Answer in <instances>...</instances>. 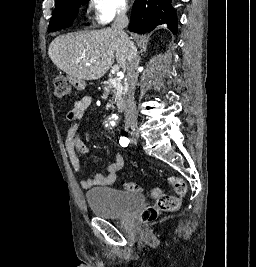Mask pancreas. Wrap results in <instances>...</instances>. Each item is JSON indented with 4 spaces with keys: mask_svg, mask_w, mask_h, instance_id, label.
I'll list each match as a JSON object with an SVG mask.
<instances>
[{
    "mask_svg": "<svg viewBox=\"0 0 256 267\" xmlns=\"http://www.w3.org/2000/svg\"><path fill=\"white\" fill-rule=\"evenodd\" d=\"M106 94H109V92H112L114 100L112 102H116L117 106H123L124 104V96L126 94V80L125 78H122V80H119V78H116L114 84L109 80L107 82L105 88H104Z\"/></svg>",
    "mask_w": 256,
    "mask_h": 267,
    "instance_id": "1",
    "label": "pancreas"
}]
</instances>
